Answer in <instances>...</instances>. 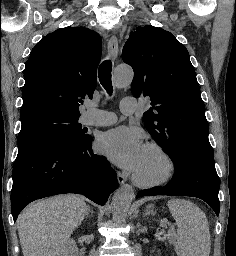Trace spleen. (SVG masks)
Returning a JSON list of instances; mask_svg holds the SVG:
<instances>
[{
    "mask_svg": "<svg viewBox=\"0 0 236 256\" xmlns=\"http://www.w3.org/2000/svg\"><path fill=\"white\" fill-rule=\"evenodd\" d=\"M167 206L178 226L181 256H209L211 240L204 212L187 200H169Z\"/></svg>",
    "mask_w": 236,
    "mask_h": 256,
    "instance_id": "spleen-1",
    "label": "spleen"
}]
</instances>
